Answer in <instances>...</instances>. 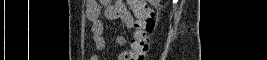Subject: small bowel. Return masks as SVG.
I'll list each match as a JSON object with an SVG mask.
<instances>
[{
  "label": "small bowel",
  "instance_id": "obj_1",
  "mask_svg": "<svg viewBox=\"0 0 267 60\" xmlns=\"http://www.w3.org/2000/svg\"><path fill=\"white\" fill-rule=\"evenodd\" d=\"M102 10L104 11L105 18L109 21L119 20L127 27H134V18L132 13L126 6L123 1H96L90 0L87 3L86 15L87 18L91 21L90 33L95 46V49L98 52H101L106 47V40L104 37L105 26L101 20ZM135 35V34H134ZM133 35V38H134ZM126 42V39L123 35H118L116 37V44L118 46H123ZM133 42V39H132ZM132 47V43H131ZM131 50L122 51L118 55V60H131ZM91 60H99L98 55H93Z\"/></svg>",
  "mask_w": 267,
  "mask_h": 60
}]
</instances>
